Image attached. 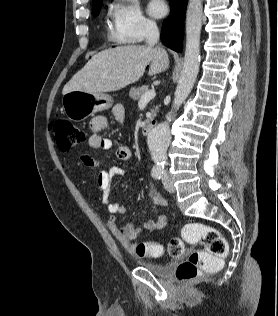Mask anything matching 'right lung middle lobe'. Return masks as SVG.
<instances>
[{"mask_svg": "<svg viewBox=\"0 0 278 316\" xmlns=\"http://www.w3.org/2000/svg\"><path fill=\"white\" fill-rule=\"evenodd\" d=\"M102 7V1H100L98 4L94 5L92 10H93V15L96 16L100 12V9Z\"/></svg>", "mask_w": 278, "mask_h": 316, "instance_id": "dd1d6c3e", "label": "right lung middle lobe"}]
</instances>
